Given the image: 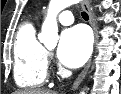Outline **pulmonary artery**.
Wrapping results in <instances>:
<instances>
[{
    "instance_id": "pulmonary-artery-1",
    "label": "pulmonary artery",
    "mask_w": 121,
    "mask_h": 94,
    "mask_svg": "<svg viewBox=\"0 0 121 94\" xmlns=\"http://www.w3.org/2000/svg\"><path fill=\"white\" fill-rule=\"evenodd\" d=\"M58 19H59L60 23L63 25H70L74 21V16L71 12L65 11L59 15Z\"/></svg>"
}]
</instances>
